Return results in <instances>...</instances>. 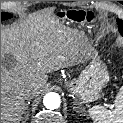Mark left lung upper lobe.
<instances>
[{
  "instance_id": "left-lung-upper-lobe-1",
  "label": "left lung upper lobe",
  "mask_w": 123,
  "mask_h": 123,
  "mask_svg": "<svg viewBox=\"0 0 123 123\" xmlns=\"http://www.w3.org/2000/svg\"><path fill=\"white\" fill-rule=\"evenodd\" d=\"M117 23L119 26V31H120L121 35L123 36V21L120 19H117Z\"/></svg>"
}]
</instances>
